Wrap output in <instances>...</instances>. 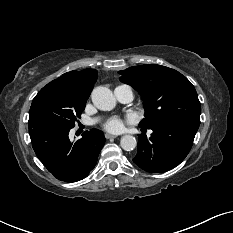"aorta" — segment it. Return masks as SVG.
<instances>
[{"mask_svg":"<svg viewBox=\"0 0 233 233\" xmlns=\"http://www.w3.org/2000/svg\"><path fill=\"white\" fill-rule=\"evenodd\" d=\"M91 99L96 108L103 111H110L116 105V99L110 89L98 86L93 89ZM120 145L125 151H131L137 146V141L132 135L121 137Z\"/></svg>","mask_w":233,"mask_h":233,"instance_id":"762f6f07","label":"aorta"}]
</instances>
